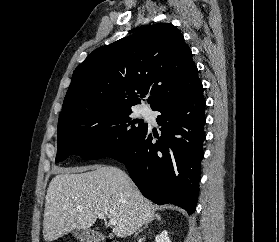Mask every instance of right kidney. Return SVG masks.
Returning <instances> with one entry per match:
<instances>
[{
  "label": "right kidney",
  "mask_w": 279,
  "mask_h": 242,
  "mask_svg": "<svg viewBox=\"0 0 279 242\" xmlns=\"http://www.w3.org/2000/svg\"><path fill=\"white\" fill-rule=\"evenodd\" d=\"M155 242H171L167 231H163L155 237Z\"/></svg>",
  "instance_id": "1"
}]
</instances>
